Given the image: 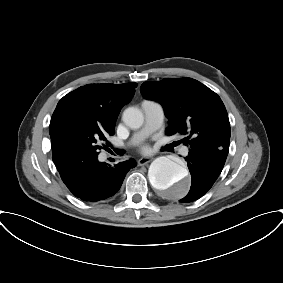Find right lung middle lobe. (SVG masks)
<instances>
[{"mask_svg":"<svg viewBox=\"0 0 283 283\" xmlns=\"http://www.w3.org/2000/svg\"><path fill=\"white\" fill-rule=\"evenodd\" d=\"M62 131L64 135L57 152V161L63 164L87 152L98 154L103 148L101 145L106 147L103 144L106 138L114 134V131L102 127L95 120L82 118L75 113L67 115Z\"/></svg>","mask_w":283,"mask_h":283,"instance_id":"right-lung-middle-lobe-1","label":"right lung middle lobe"}]
</instances>
